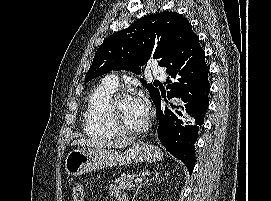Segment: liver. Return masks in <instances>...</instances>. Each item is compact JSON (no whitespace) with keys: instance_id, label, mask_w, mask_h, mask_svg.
Listing matches in <instances>:
<instances>
[{"instance_id":"1","label":"liver","mask_w":271,"mask_h":201,"mask_svg":"<svg viewBox=\"0 0 271 201\" xmlns=\"http://www.w3.org/2000/svg\"><path fill=\"white\" fill-rule=\"evenodd\" d=\"M134 142V138H116L109 140L86 139L74 140L71 145L86 146L89 148H123Z\"/></svg>"}]
</instances>
